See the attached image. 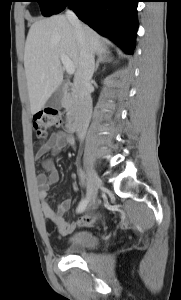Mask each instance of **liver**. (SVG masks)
Instances as JSON below:
<instances>
[{"instance_id":"obj_1","label":"liver","mask_w":181,"mask_h":300,"mask_svg":"<svg viewBox=\"0 0 181 300\" xmlns=\"http://www.w3.org/2000/svg\"><path fill=\"white\" fill-rule=\"evenodd\" d=\"M87 43L93 53L108 52L106 43L90 27L82 25ZM61 55L67 56L79 69V47L68 19L55 15L33 23L29 29L24 50V67L31 113L45 105L52 93L61 85L63 69Z\"/></svg>"}]
</instances>
